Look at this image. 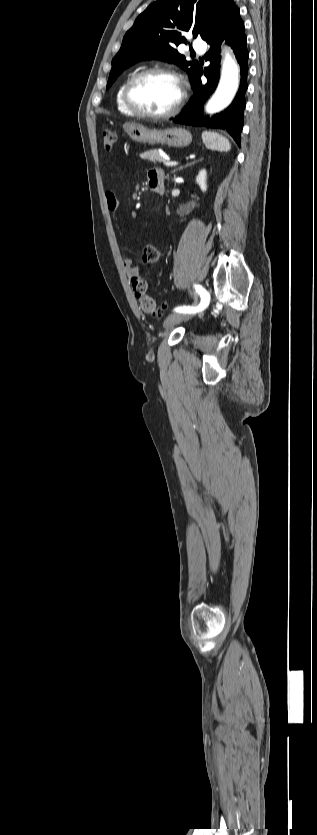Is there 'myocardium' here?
<instances>
[{
    "label": "myocardium",
    "mask_w": 317,
    "mask_h": 835,
    "mask_svg": "<svg viewBox=\"0 0 317 835\" xmlns=\"http://www.w3.org/2000/svg\"><path fill=\"white\" fill-rule=\"evenodd\" d=\"M155 74L166 75V76L171 77L172 79H174L178 83L179 88H180V96H179V99L177 100V102L175 103V105L173 107H171L170 109H168L164 112H161V113H151V112H147V111L141 109L135 103V101L133 100V95H132L134 87L142 79H144L147 76L155 75ZM123 98H124V102H125L126 106L129 108V110L134 115L139 116L141 118H145V119H163V118L171 117V116H173V115H175L176 113L179 112V110L182 108L184 100L186 98V92L183 88L181 78L179 77V75L174 70L166 68V67L156 66V67L146 68L144 70H141V71L133 74L130 77V79L128 80V82L126 83V86H125L124 92H123Z\"/></svg>",
    "instance_id": "1"
}]
</instances>
